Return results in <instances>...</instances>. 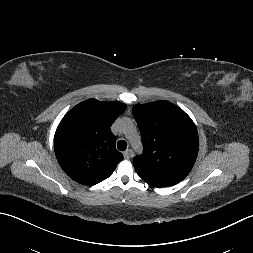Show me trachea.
<instances>
[{"label": "trachea", "mask_w": 253, "mask_h": 253, "mask_svg": "<svg viewBox=\"0 0 253 253\" xmlns=\"http://www.w3.org/2000/svg\"><path fill=\"white\" fill-rule=\"evenodd\" d=\"M117 148L120 151H124L127 148V142L125 140H119L117 143Z\"/></svg>", "instance_id": "1"}]
</instances>
